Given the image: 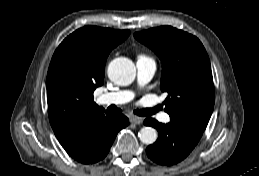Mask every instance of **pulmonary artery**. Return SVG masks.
I'll return each mask as SVG.
<instances>
[{"label": "pulmonary artery", "mask_w": 259, "mask_h": 176, "mask_svg": "<svg viewBox=\"0 0 259 176\" xmlns=\"http://www.w3.org/2000/svg\"><path fill=\"white\" fill-rule=\"evenodd\" d=\"M136 67L138 84L139 86H144L155 74V61L148 57H140L136 62ZM133 98L134 92L130 90H119L100 95L98 101L100 104L105 105H121L130 102ZM160 121L163 123H169L170 116L167 113H162L160 115Z\"/></svg>", "instance_id": "pulmonary-artery-1"}]
</instances>
